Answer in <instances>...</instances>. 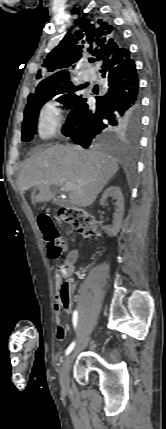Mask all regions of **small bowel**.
<instances>
[{"label": "small bowel", "mask_w": 166, "mask_h": 429, "mask_svg": "<svg viewBox=\"0 0 166 429\" xmlns=\"http://www.w3.org/2000/svg\"><path fill=\"white\" fill-rule=\"evenodd\" d=\"M79 257V251L73 249L69 251L64 259V262L58 267L55 278L57 293L55 296V311H56V338L59 341H63L66 336V332L70 329L68 325H63L61 322V311L70 313L72 310V298L71 293L74 288V283L72 280L67 281L69 284L70 290L68 293H65L63 290L64 283H61L63 278H69L74 272V264L76 263Z\"/></svg>", "instance_id": "obj_1"}]
</instances>
